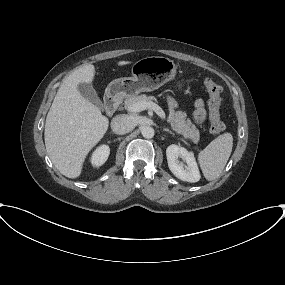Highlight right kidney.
Returning a JSON list of instances; mask_svg holds the SVG:
<instances>
[{"instance_id": "ca27d5eb", "label": "right kidney", "mask_w": 285, "mask_h": 285, "mask_svg": "<svg viewBox=\"0 0 285 285\" xmlns=\"http://www.w3.org/2000/svg\"><path fill=\"white\" fill-rule=\"evenodd\" d=\"M109 154L110 148L108 145L103 144L99 146L91 156V164L94 167H100L107 161Z\"/></svg>"}]
</instances>
